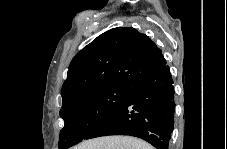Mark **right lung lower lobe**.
<instances>
[{"label": "right lung lower lobe", "mask_w": 227, "mask_h": 149, "mask_svg": "<svg viewBox=\"0 0 227 149\" xmlns=\"http://www.w3.org/2000/svg\"><path fill=\"white\" fill-rule=\"evenodd\" d=\"M173 80L167 65L130 87L122 106L87 139L107 135L141 138L157 149H168L174 128Z\"/></svg>", "instance_id": "obj_1"}]
</instances>
